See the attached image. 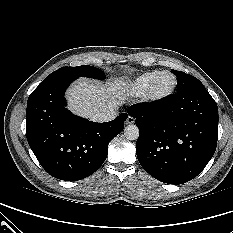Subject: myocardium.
<instances>
[{
	"label": "myocardium",
	"instance_id": "f54148a6",
	"mask_svg": "<svg viewBox=\"0 0 233 233\" xmlns=\"http://www.w3.org/2000/svg\"><path fill=\"white\" fill-rule=\"evenodd\" d=\"M163 75H170L173 78V84L172 86L165 92L163 93H156L154 91L155 84L157 81L162 77ZM178 86V79L176 75L168 70L161 71L150 83L149 87L147 88L146 92L143 94L145 101L150 102V103H158L161 101H164L165 99L169 98L172 96Z\"/></svg>",
	"mask_w": 233,
	"mask_h": 233
}]
</instances>
